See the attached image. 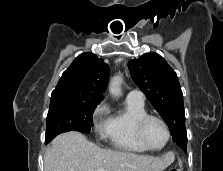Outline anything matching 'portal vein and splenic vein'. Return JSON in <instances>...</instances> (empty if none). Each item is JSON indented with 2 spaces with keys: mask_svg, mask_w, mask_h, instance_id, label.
<instances>
[{
  "mask_svg": "<svg viewBox=\"0 0 223 171\" xmlns=\"http://www.w3.org/2000/svg\"><path fill=\"white\" fill-rule=\"evenodd\" d=\"M97 171H104V169L103 168H99Z\"/></svg>",
  "mask_w": 223,
  "mask_h": 171,
  "instance_id": "obj_1",
  "label": "portal vein and splenic vein"
}]
</instances>
